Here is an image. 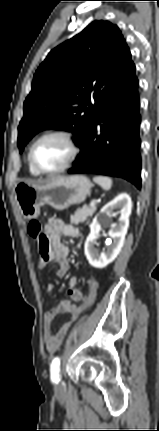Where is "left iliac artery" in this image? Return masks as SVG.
Returning a JSON list of instances; mask_svg holds the SVG:
<instances>
[{"instance_id":"left-iliac-artery-1","label":"left iliac artery","mask_w":159,"mask_h":431,"mask_svg":"<svg viewBox=\"0 0 159 431\" xmlns=\"http://www.w3.org/2000/svg\"><path fill=\"white\" fill-rule=\"evenodd\" d=\"M50 371H51V379L53 382L59 381V371H60V358L55 357L52 360V363L50 365Z\"/></svg>"}]
</instances>
